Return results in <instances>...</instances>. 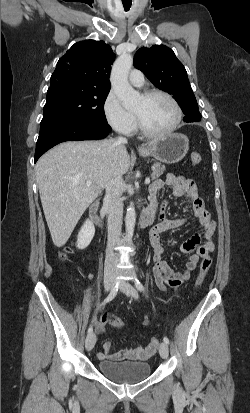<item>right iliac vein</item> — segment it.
<instances>
[{
	"label": "right iliac vein",
	"instance_id": "1",
	"mask_svg": "<svg viewBox=\"0 0 250 413\" xmlns=\"http://www.w3.org/2000/svg\"><path fill=\"white\" fill-rule=\"evenodd\" d=\"M115 276L114 274H107L104 279V287L106 291H110L115 285ZM96 343V336L94 333L88 334L85 340V347L88 351L92 350Z\"/></svg>",
	"mask_w": 250,
	"mask_h": 413
}]
</instances>
